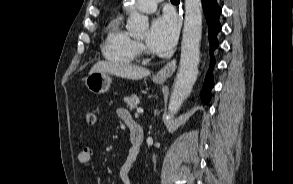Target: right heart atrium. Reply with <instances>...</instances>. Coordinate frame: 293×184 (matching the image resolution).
I'll use <instances>...</instances> for the list:
<instances>
[{
  "label": "right heart atrium",
  "mask_w": 293,
  "mask_h": 184,
  "mask_svg": "<svg viewBox=\"0 0 293 184\" xmlns=\"http://www.w3.org/2000/svg\"><path fill=\"white\" fill-rule=\"evenodd\" d=\"M138 48H139V50H141L142 49V45L141 44H138Z\"/></svg>",
  "instance_id": "1"
}]
</instances>
